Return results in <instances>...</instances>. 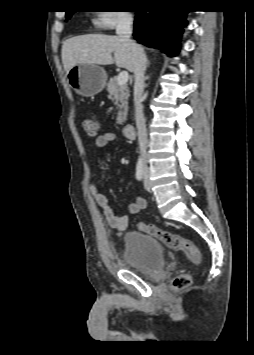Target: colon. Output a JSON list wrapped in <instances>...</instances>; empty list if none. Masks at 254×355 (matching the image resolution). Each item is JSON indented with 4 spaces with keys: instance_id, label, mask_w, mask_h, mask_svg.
I'll return each instance as SVG.
<instances>
[{
    "instance_id": "5ec220e1",
    "label": "colon",
    "mask_w": 254,
    "mask_h": 355,
    "mask_svg": "<svg viewBox=\"0 0 254 355\" xmlns=\"http://www.w3.org/2000/svg\"><path fill=\"white\" fill-rule=\"evenodd\" d=\"M83 127L85 132L90 136H94L98 132L97 123L93 119H85ZM139 229L149 236L161 241L168 248L175 251L185 252L193 263L198 264L201 261L202 256L199 249L190 240L178 234L163 230L152 224L140 223ZM191 281L192 279L190 274H180L173 279L172 286L176 290H183L190 286Z\"/></svg>"
}]
</instances>
